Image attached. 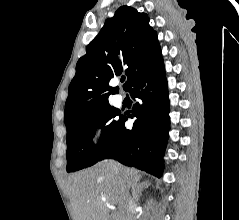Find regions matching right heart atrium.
<instances>
[{"label": "right heart atrium", "mask_w": 239, "mask_h": 220, "mask_svg": "<svg viewBox=\"0 0 239 220\" xmlns=\"http://www.w3.org/2000/svg\"><path fill=\"white\" fill-rule=\"evenodd\" d=\"M98 132H99L98 128L94 129V131H93V135H92V140H93V141L96 140L97 135H98Z\"/></svg>", "instance_id": "obj_1"}]
</instances>
